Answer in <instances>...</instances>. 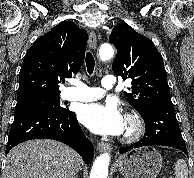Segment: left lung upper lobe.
<instances>
[{"label": "left lung upper lobe", "mask_w": 194, "mask_h": 178, "mask_svg": "<svg viewBox=\"0 0 194 178\" xmlns=\"http://www.w3.org/2000/svg\"><path fill=\"white\" fill-rule=\"evenodd\" d=\"M109 41L117 48L113 72L132 79L127 101L138 112L146 106L172 104L163 58L154 43L126 23L114 27Z\"/></svg>", "instance_id": "obj_1"}]
</instances>
